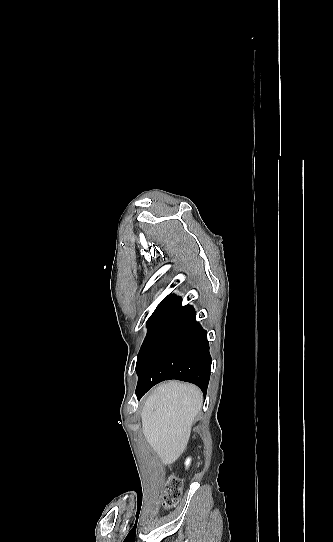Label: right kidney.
Masks as SVG:
<instances>
[{
    "mask_svg": "<svg viewBox=\"0 0 333 542\" xmlns=\"http://www.w3.org/2000/svg\"><path fill=\"white\" fill-rule=\"evenodd\" d=\"M190 464H191V458H187V460L185 462L186 468H188V466H190Z\"/></svg>",
    "mask_w": 333,
    "mask_h": 542,
    "instance_id": "obj_1",
    "label": "right kidney"
}]
</instances>
